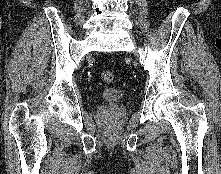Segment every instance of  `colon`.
<instances>
[{
	"instance_id": "colon-1",
	"label": "colon",
	"mask_w": 221,
	"mask_h": 174,
	"mask_svg": "<svg viewBox=\"0 0 221 174\" xmlns=\"http://www.w3.org/2000/svg\"><path fill=\"white\" fill-rule=\"evenodd\" d=\"M101 77H102L103 81L106 82V83H111V82L114 81V74L111 71H108V70L103 71L101 73Z\"/></svg>"
}]
</instances>
